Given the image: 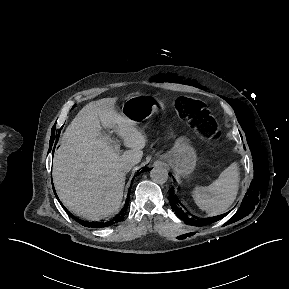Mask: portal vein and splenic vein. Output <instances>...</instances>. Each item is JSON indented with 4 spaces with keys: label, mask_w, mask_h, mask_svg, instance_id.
I'll list each match as a JSON object with an SVG mask.
<instances>
[{
    "label": "portal vein and splenic vein",
    "mask_w": 289,
    "mask_h": 289,
    "mask_svg": "<svg viewBox=\"0 0 289 289\" xmlns=\"http://www.w3.org/2000/svg\"><path fill=\"white\" fill-rule=\"evenodd\" d=\"M114 149H115L117 152H119V150H120V147H119V145H118L116 142H114Z\"/></svg>",
    "instance_id": "portal-vein-and-splenic-vein-1"
}]
</instances>
